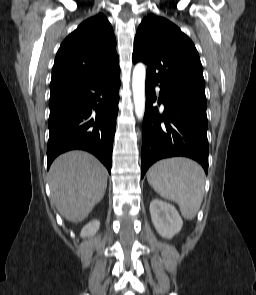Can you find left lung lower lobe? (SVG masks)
I'll return each instance as SVG.
<instances>
[{"label": "left lung lower lobe", "instance_id": "0a47b994", "mask_svg": "<svg viewBox=\"0 0 256 295\" xmlns=\"http://www.w3.org/2000/svg\"><path fill=\"white\" fill-rule=\"evenodd\" d=\"M157 85L146 77V108L142 127L141 177L156 161L185 156L199 162L208 171L207 104L180 98L160 90V114L152 104Z\"/></svg>", "mask_w": 256, "mask_h": 295}]
</instances>
